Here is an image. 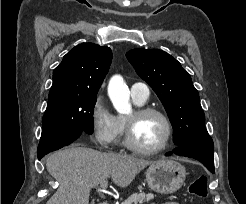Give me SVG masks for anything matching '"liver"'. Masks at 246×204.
<instances>
[{
	"label": "liver",
	"mask_w": 246,
	"mask_h": 204,
	"mask_svg": "<svg viewBox=\"0 0 246 204\" xmlns=\"http://www.w3.org/2000/svg\"><path fill=\"white\" fill-rule=\"evenodd\" d=\"M155 163L117 153L71 147L50 155L46 167L59 188L46 204H89L90 190L108 177L125 188L148 165Z\"/></svg>",
	"instance_id": "liver-1"
}]
</instances>
